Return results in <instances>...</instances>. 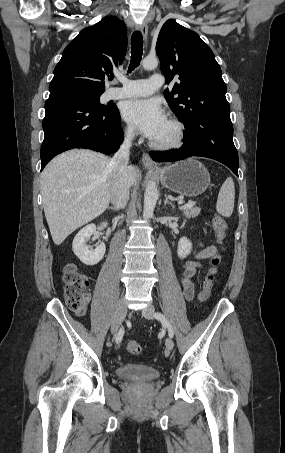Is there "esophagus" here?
<instances>
[{"instance_id":"obj_1","label":"esophagus","mask_w":285,"mask_h":453,"mask_svg":"<svg viewBox=\"0 0 285 453\" xmlns=\"http://www.w3.org/2000/svg\"><path fill=\"white\" fill-rule=\"evenodd\" d=\"M139 29L141 31V34H142L144 40H146L147 39V35H148L147 23L146 22L142 23L140 25ZM142 163L148 169H158L157 163L150 157V155L148 153H143V155H142Z\"/></svg>"}]
</instances>
